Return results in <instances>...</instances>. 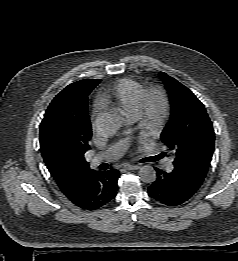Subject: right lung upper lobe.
I'll list each match as a JSON object with an SVG mask.
<instances>
[{
	"label": "right lung upper lobe",
	"instance_id": "cb5924a9",
	"mask_svg": "<svg viewBox=\"0 0 238 261\" xmlns=\"http://www.w3.org/2000/svg\"><path fill=\"white\" fill-rule=\"evenodd\" d=\"M99 82L100 80L83 79L70 84L78 91L80 102L74 107L73 117L53 122L55 136L67 151V157L61 162L46 165L67 198L75 195L94 172L85 161L84 153L89 149L92 136L88 116V95Z\"/></svg>",
	"mask_w": 238,
	"mask_h": 261
}]
</instances>
